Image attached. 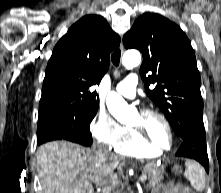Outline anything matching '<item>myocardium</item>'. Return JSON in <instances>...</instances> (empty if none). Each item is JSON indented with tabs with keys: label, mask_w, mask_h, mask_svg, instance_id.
I'll return each mask as SVG.
<instances>
[{
	"label": "myocardium",
	"mask_w": 221,
	"mask_h": 193,
	"mask_svg": "<svg viewBox=\"0 0 221 193\" xmlns=\"http://www.w3.org/2000/svg\"><path fill=\"white\" fill-rule=\"evenodd\" d=\"M139 115L142 118H145L147 116L158 117L164 123V125L166 126V128L168 130L169 137H170V144H169L168 148H162V147L158 146L156 143H154L149 138L143 125H141V124L130 125L129 128L131 129L133 134L139 139V141L142 142L144 145L148 146L149 148L155 150L158 153H164V152L170 151L174 146L175 136H174V131H173L172 125H171L170 121L168 120V118L162 112H160L157 109H153V108H143L139 111Z\"/></svg>",
	"instance_id": "f54148a6"
}]
</instances>
